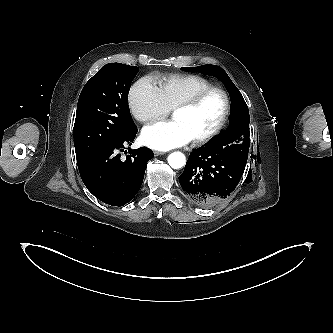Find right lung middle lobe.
Segmentation results:
<instances>
[{
  "label": "right lung middle lobe",
  "instance_id": "obj_1",
  "mask_svg": "<svg viewBox=\"0 0 333 333\" xmlns=\"http://www.w3.org/2000/svg\"><path fill=\"white\" fill-rule=\"evenodd\" d=\"M137 73L136 66L109 63L85 84L74 124L77 160L123 139L136 128L128 106V93Z\"/></svg>",
  "mask_w": 333,
  "mask_h": 333
}]
</instances>
